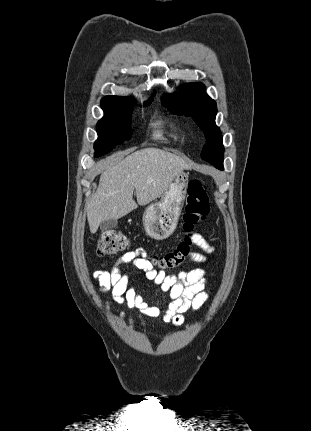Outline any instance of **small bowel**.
Segmentation results:
<instances>
[{"instance_id":"1","label":"small bowel","mask_w":311,"mask_h":431,"mask_svg":"<svg viewBox=\"0 0 311 431\" xmlns=\"http://www.w3.org/2000/svg\"><path fill=\"white\" fill-rule=\"evenodd\" d=\"M203 252L209 254L213 248L199 234L192 238ZM197 263L205 261V256L199 253L192 255ZM132 264L142 271L145 277L159 285L169 296L165 308L151 304L145 294L138 293L129 285V275L122 270V265ZM101 291L111 290L112 300L130 309H136L140 314L148 317H162L165 322L175 326L184 322L186 312L197 311L208 299L206 271L196 268L183 271L177 275H167L164 271H157L148 258L146 252L138 250L122 255L109 271L97 270L93 273ZM133 323V319H129Z\"/></svg>"}]
</instances>
